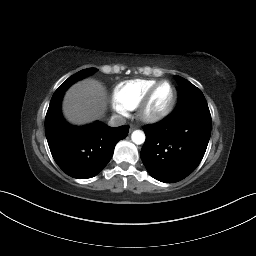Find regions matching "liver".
Returning <instances> with one entry per match:
<instances>
[{"mask_svg": "<svg viewBox=\"0 0 256 256\" xmlns=\"http://www.w3.org/2000/svg\"><path fill=\"white\" fill-rule=\"evenodd\" d=\"M107 104L105 87L97 80L85 79L66 92L63 113L73 124H85L103 116Z\"/></svg>", "mask_w": 256, "mask_h": 256, "instance_id": "obj_1", "label": "liver"}]
</instances>
